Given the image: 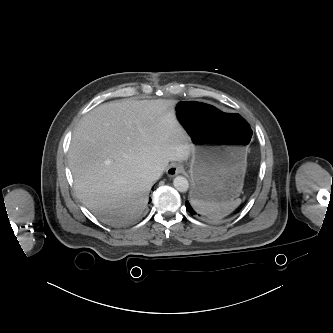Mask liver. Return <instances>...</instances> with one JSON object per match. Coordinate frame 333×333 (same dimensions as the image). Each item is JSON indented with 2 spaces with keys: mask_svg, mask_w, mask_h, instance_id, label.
Returning a JSON list of instances; mask_svg holds the SVG:
<instances>
[{
  "mask_svg": "<svg viewBox=\"0 0 333 333\" xmlns=\"http://www.w3.org/2000/svg\"><path fill=\"white\" fill-rule=\"evenodd\" d=\"M176 100L104 103L73 131L69 166L82 203L104 223L128 224L148 204L154 179L147 170L187 161L193 146L179 123Z\"/></svg>",
  "mask_w": 333,
  "mask_h": 333,
  "instance_id": "obj_1",
  "label": "liver"
}]
</instances>
